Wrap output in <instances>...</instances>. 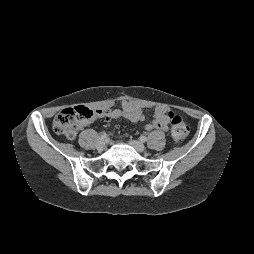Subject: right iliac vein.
<instances>
[{
    "label": "right iliac vein",
    "mask_w": 254,
    "mask_h": 254,
    "mask_svg": "<svg viewBox=\"0 0 254 254\" xmlns=\"http://www.w3.org/2000/svg\"><path fill=\"white\" fill-rule=\"evenodd\" d=\"M106 145V141L103 140V139H100L98 142H97V149L98 150H102Z\"/></svg>",
    "instance_id": "63e3f726"
}]
</instances>
